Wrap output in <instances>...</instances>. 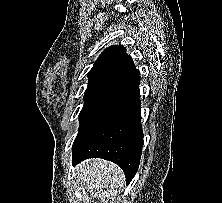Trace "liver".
I'll return each mask as SVG.
<instances>
[{"mask_svg":"<svg viewBox=\"0 0 222 203\" xmlns=\"http://www.w3.org/2000/svg\"><path fill=\"white\" fill-rule=\"evenodd\" d=\"M77 178L85 186L90 196L111 201L125 184L121 168L102 159H89L77 167Z\"/></svg>","mask_w":222,"mask_h":203,"instance_id":"6515ba94","label":"liver"}]
</instances>
